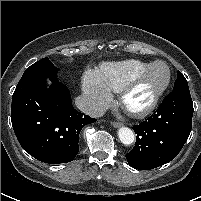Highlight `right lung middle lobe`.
Wrapping results in <instances>:
<instances>
[{
    "label": "right lung middle lobe",
    "instance_id": "1",
    "mask_svg": "<svg viewBox=\"0 0 201 201\" xmlns=\"http://www.w3.org/2000/svg\"><path fill=\"white\" fill-rule=\"evenodd\" d=\"M36 66H54L51 61L49 60V58H43L39 61H37L36 63H34L33 65H31L30 67H36Z\"/></svg>",
    "mask_w": 201,
    "mask_h": 201
}]
</instances>
